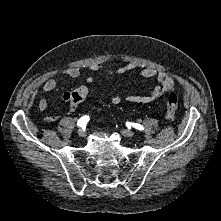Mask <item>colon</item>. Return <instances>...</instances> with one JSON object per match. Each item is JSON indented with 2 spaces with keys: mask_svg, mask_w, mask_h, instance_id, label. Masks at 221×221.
<instances>
[{
  "mask_svg": "<svg viewBox=\"0 0 221 221\" xmlns=\"http://www.w3.org/2000/svg\"><path fill=\"white\" fill-rule=\"evenodd\" d=\"M87 94H88L87 87H82L74 91L70 97L71 104L79 103L85 96H87ZM176 110H177V97L175 93L169 92L166 97V109H165V118L167 121L172 122L175 119Z\"/></svg>",
  "mask_w": 221,
  "mask_h": 221,
  "instance_id": "obj_1",
  "label": "colon"
}]
</instances>
